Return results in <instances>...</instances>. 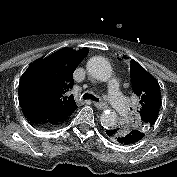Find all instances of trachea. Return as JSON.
I'll list each match as a JSON object with an SVG mask.
<instances>
[{"mask_svg":"<svg viewBox=\"0 0 177 177\" xmlns=\"http://www.w3.org/2000/svg\"><path fill=\"white\" fill-rule=\"evenodd\" d=\"M83 99H92V100H94V101H99L98 98H96L95 96H93L92 94H89V93H85V94L83 95Z\"/></svg>","mask_w":177,"mask_h":177,"instance_id":"1","label":"trachea"}]
</instances>
